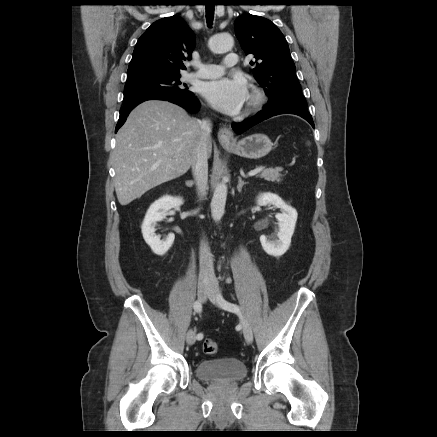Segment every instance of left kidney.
Segmentation results:
<instances>
[{
    "label": "left kidney",
    "instance_id": "5707ae66",
    "mask_svg": "<svg viewBox=\"0 0 437 437\" xmlns=\"http://www.w3.org/2000/svg\"><path fill=\"white\" fill-rule=\"evenodd\" d=\"M257 205H273L281 210V213L275 216L279 227L277 238H268L262 235L260 242L267 254L275 257L282 256L290 246L297 221V211L287 205L278 195L270 192L260 194L257 198Z\"/></svg>",
    "mask_w": 437,
    "mask_h": 437
}]
</instances>
